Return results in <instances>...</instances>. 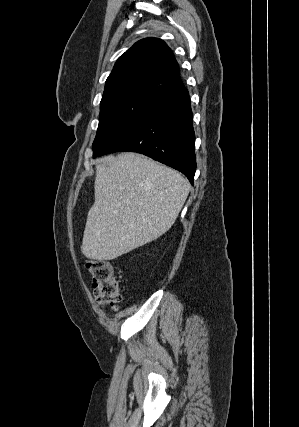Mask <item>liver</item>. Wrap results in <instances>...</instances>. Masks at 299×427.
<instances>
[{
    "mask_svg": "<svg viewBox=\"0 0 299 427\" xmlns=\"http://www.w3.org/2000/svg\"><path fill=\"white\" fill-rule=\"evenodd\" d=\"M189 190L181 174L143 155L101 158L82 253L88 259L113 260L157 239L174 224Z\"/></svg>",
    "mask_w": 299,
    "mask_h": 427,
    "instance_id": "1",
    "label": "liver"
}]
</instances>
